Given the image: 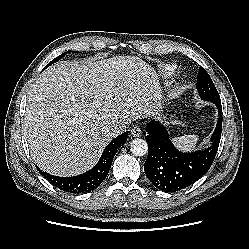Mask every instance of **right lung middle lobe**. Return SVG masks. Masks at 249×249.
<instances>
[{
  "label": "right lung middle lobe",
  "instance_id": "right-lung-middle-lobe-1",
  "mask_svg": "<svg viewBox=\"0 0 249 249\" xmlns=\"http://www.w3.org/2000/svg\"><path fill=\"white\" fill-rule=\"evenodd\" d=\"M68 52H70V51H68ZM65 54H66V52H64V53L61 54L60 56L56 57L55 59H53V60L47 65V67H48L49 65L53 64L54 62H57V61L60 60L61 58H63V57L65 56Z\"/></svg>",
  "mask_w": 249,
  "mask_h": 249
}]
</instances>
